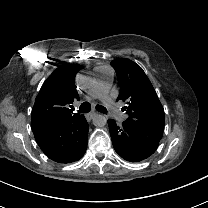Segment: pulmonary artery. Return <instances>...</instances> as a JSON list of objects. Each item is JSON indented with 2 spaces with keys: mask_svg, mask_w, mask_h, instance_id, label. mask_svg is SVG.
I'll use <instances>...</instances> for the list:
<instances>
[{
  "mask_svg": "<svg viewBox=\"0 0 208 208\" xmlns=\"http://www.w3.org/2000/svg\"><path fill=\"white\" fill-rule=\"evenodd\" d=\"M112 68L108 65L97 66L94 69V80L93 84L88 91V97L84 96L81 98L76 99L75 104L78 107L89 104L90 98H97L106 105L109 111H111L115 118L118 119L119 123H122L126 120L127 115H122L120 109L114 104L113 101L105 94L109 88V79L112 76Z\"/></svg>",
  "mask_w": 208,
  "mask_h": 208,
  "instance_id": "pulmonary-artery-1",
  "label": "pulmonary artery"
}]
</instances>
